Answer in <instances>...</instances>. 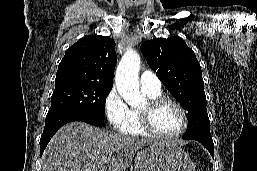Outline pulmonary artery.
I'll list each match as a JSON object with an SVG mask.
<instances>
[{
    "instance_id": "obj_1",
    "label": "pulmonary artery",
    "mask_w": 257,
    "mask_h": 171,
    "mask_svg": "<svg viewBox=\"0 0 257 171\" xmlns=\"http://www.w3.org/2000/svg\"><path fill=\"white\" fill-rule=\"evenodd\" d=\"M140 86L143 90L157 92L161 90V81L152 71H144L140 76Z\"/></svg>"
}]
</instances>
